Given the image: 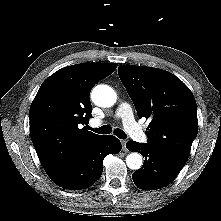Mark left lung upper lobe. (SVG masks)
<instances>
[{
  "instance_id": "1",
  "label": "left lung upper lobe",
  "mask_w": 221,
  "mask_h": 221,
  "mask_svg": "<svg viewBox=\"0 0 221 221\" xmlns=\"http://www.w3.org/2000/svg\"><path fill=\"white\" fill-rule=\"evenodd\" d=\"M118 75L138 116L151 120L145 132L148 144L185 165L198 133L192 92L175 75L158 68L122 65Z\"/></svg>"
}]
</instances>
